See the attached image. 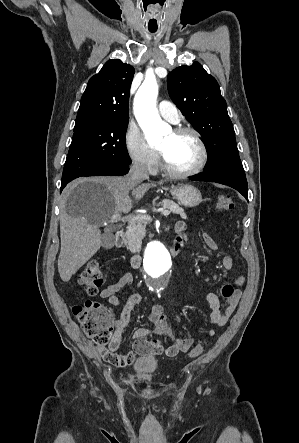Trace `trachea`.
<instances>
[{
  "label": "trachea",
  "mask_w": 299,
  "mask_h": 443,
  "mask_svg": "<svg viewBox=\"0 0 299 443\" xmlns=\"http://www.w3.org/2000/svg\"><path fill=\"white\" fill-rule=\"evenodd\" d=\"M150 32L154 33V32H156V30H150Z\"/></svg>",
  "instance_id": "trachea-1"
}]
</instances>
